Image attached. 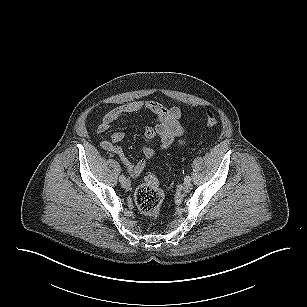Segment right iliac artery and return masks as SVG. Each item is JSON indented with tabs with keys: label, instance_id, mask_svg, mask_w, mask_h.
<instances>
[{
	"label": "right iliac artery",
	"instance_id": "obj_1",
	"mask_svg": "<svg viewBox=\"0 0 307 307\" xmlns=\"http://www.w3.org/2000/svg\"><path fill=\"white\" fill-rule=\"evenodd\" d=\"M125 180V176L124 175H121L120 177H119V181L120 182H123Z\"/></svg>",
	"mask_w": 307,
	"mask_h": 307
}]
</instances>
